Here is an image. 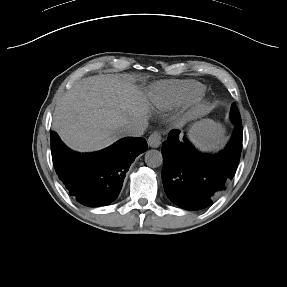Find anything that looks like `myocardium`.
Masks as SVG:
<instances>
[{
    "instance_id": "1",
    "label": "myocardium",
    "mask_w": 287,
    "mask_h": 287,
    "mask_svg": "<svg viewBox=\"0 0 287 287\" xmlns=\"http://www.w3.org/2000/svg\"><path fill=\"white\" fill-rule=\"evenodd\" d=\"M204 107V102L203 101H198L197 103H196V109L197 110H200V109H202Z\"/></svg>"
}]
</instances>
